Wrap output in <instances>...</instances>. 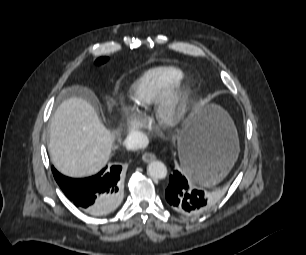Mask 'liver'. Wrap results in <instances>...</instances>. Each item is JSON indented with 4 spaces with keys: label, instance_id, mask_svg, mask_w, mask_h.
I'll use <instances>...</instances> for the list:
<instances>
[{
    "label": "liver",
    "instance_id": "1",
    "mask_svg": "<svg viewBox=\"0 0 306 255\" xmlns=\"http://www.w3.org/2000/svg\"><path fill=\"white\" fill-rule=\"evenodd\" d=\"M115 132L108 130L90 102L81 97L63 101L50 123L48 149L55 168L69 177L100 171L113 150Z\"/></svg>",
    "mask_w": 306,
    "mask_h": 255
}]
</instances>
